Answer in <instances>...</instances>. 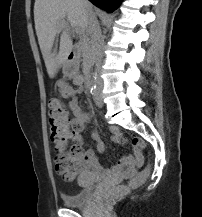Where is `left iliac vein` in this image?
Instances as JSON below:
<instances>
[{
    "instance_id": "4c4485c4",
    "label": "left iliac vein",
    "mask_w": 202,
    "mask_h": 217,
    "mask_svg": "<svg viewBox=\"0 0 202 217\" xmlns=\"http://www.w3.org/2000/svg\"><path fill=\"white\" fill-rule=\"evenodd\" d=\"M95 102H96V105L97 106H99V107H101L102 106V99H101V97H100V95H99V93L97 92L96 93V95H95Z\"/></svg>"
}]
</instances>
